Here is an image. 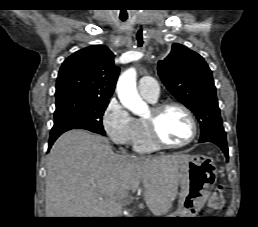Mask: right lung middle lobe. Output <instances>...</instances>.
Wrapping results in <instances>:
<instances>
[{"mask_svg": "<svg viewBox=\"0 0 258 227\" xmlns=\"http://www.w3.org/2000/svg\"><path fill=\"white\" fill-rule=\"evenodd\" d=\"M109 101L85 98L77 95L56 97L54 125L86 129L105 135L102 116Z\"/></svg>", "mask_w": 258, "mask_h": 227, "instance_id": "1", "label": "right lung middle lobe"}]
</instances>
